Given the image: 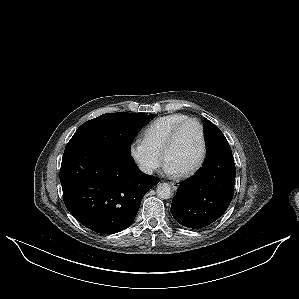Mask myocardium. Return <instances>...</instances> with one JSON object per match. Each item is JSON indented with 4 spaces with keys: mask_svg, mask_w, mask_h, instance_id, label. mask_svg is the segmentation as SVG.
I'll use <instances>...</instances> for the list:
<instances>
[{
    "mask_svg": "<svg viewBox=\"0 0 299 299\" xmlns=\"http://www.w3.org/2000/svg\"><path fill=\"white\" fill-rule=\"evenodd\" d=\"M189 125H195L199 131V135H200L199 153H198V157H197L196 161L194 162V164L192 166H190L184 170L177 171V174L179 176H186V175H189V174L193 173L194 171H196L201 166V164L204 160V157H205V152H206V140H205V132H204L203 125L197 119H189L186 122H184L183 124H181L180 126H178L170 135V137L164 147L163 153H162L163 163L165 165H169L168 164L169 152L172 149L178 134Z\"/></svg>",
    "mask_w": 299,
    "mask_h": 299,
    "instance_id": "obj_1",
    "label": "myocardium"
}]
</instances>
